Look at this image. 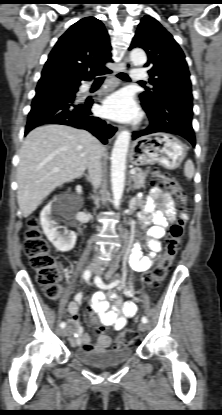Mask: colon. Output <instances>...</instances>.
<instances>
[{
  "label": "colon",
  "mask_w": 222,
  "mask_h": 415,
  "mask_svg": "<svg viewBox=\"0 0 222 415\" xmlns=\"http://www.w3.org/2000/svg\"><path fill=\"white\" fill-rule=\"evenodd\" d=\"M154 177L155 180L159 181L165 188L173 192L183 207L186 208L187 197L174 178L158 173H155ZM184 229L185 222L183 219H179L170 227L169 239L163 255L157 264L144 277L145 284L150 289H157L169 271L179 248ZM24 249L26 255L30 258L32 267L37 272L38 282L44 286L46 296L50 299L58 298L61 292V287L58 283L60 270L59 261L57 257L50 252L47 242L42 238L35 218H31L28 221ZM105 328L104 325L100 326L101 331H104ZM137 340H139V335L136 331L126 330L118 335L117 339L112 344V348L117 349Z\"/></svg>",
  "instance_id": "colon-1"
}]
</instances>
